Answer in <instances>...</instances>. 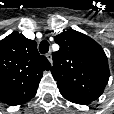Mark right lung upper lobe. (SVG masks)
Returning <instances> with one entry per match:
<instances>
[{"label": "right lung upper lobe", "mask_w": 114, "mask_h": 114, "mask_svg": "<svg viewBox=\"0 0 114 114\" xmlns=\"http://www.w3.org/2000/svg\"><path fill=\"white\" fill-rule=\"evenodd\" d=\"M51 64L37 51V43L18 32L0 41V101L14 106L37 91L44 70Z\"/></svg>", "instance_id": "obj_1"}]
</instances>
